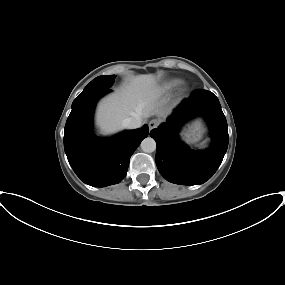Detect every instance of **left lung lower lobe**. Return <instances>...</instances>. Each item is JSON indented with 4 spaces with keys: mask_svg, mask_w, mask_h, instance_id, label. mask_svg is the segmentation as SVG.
Instances as JSON below:
<instances>
[{
    "mask_svg": "<svg viewBox=\"0 0 285 285\" xmlns=\"http://www.w3.org/2000/svg\"><path fill=\"white\" fill-rule=\"evenodd\" d=\"M204 115L209 123L212 145L206 151L191 150L178 138V129L187 120ZM156 141L155 161L161 175L169 182L198 185L218 169L228 147L226 118L217 97L210 91L197 90L179 104L163 123L150 132Z\"/></svg>",
    "mask_w": 285,
    "mask_h": 285,
    "instance_id": "0a47b994",
    "label": "left lung lower lobe"
}]
</instances>
